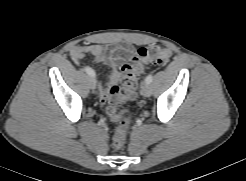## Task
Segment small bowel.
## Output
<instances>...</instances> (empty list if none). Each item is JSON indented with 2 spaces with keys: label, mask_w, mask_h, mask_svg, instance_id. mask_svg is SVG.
Instances as JSON below:
<instances>
[{
  "label": "small bowel",
  "mask_w": 246,
  "mask_h": 181,
  "mask_svg": "<svg viewBox=\"0 0 246 181\" xmlns=\"http://www.w3.org/2000/svg\"><path fill=\"white\" fill-rule=\"evenodd\" d=\"M133 53L129 47L104 46L101 44L75 45L70 49V56L74 62H80L86 55L93 57L98 64L110 68L105 82H98L96 87L102 103L108 89L117 85L122 79L121 67Z\"/></svg>",
  "instance_id": "c3829d8e"
}]
</instances>
